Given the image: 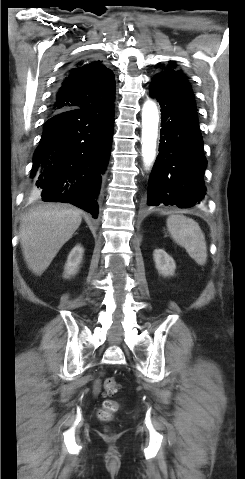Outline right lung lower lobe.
Returning <instances> with one entry per match:
<instances>
[{
	"instance_id": "1",
	"label": "right lung lower lobe",
	"mask_w": 245,
	"mask_h": 479,
	"mask_svg": "<svg viewBox=\"0 0 245 479\" xmlns=\"http://www.w3.org/2000/svg\"><path fill=\"white\" fill-rule=\"evenodd\" d=\"M113 123L114 104L51 114L34 153L30 197L71 203L97 218Z\"/></svg>"
}]
</instances>
